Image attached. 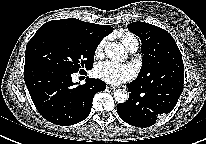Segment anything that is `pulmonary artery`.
Segmentation results:
<instances>
[{
    "label": "pulmonary artery",
    "mask_w": 206,
    "mask_h": 144,
    "mask_svg": "<svg viewBox=\"0 0 206 144\" xmlns=\"http://www.w3.org/2000/svg\"><path fill=\"white\" fill-rule=\"evenodd\" d=\"M137 49L136 48H132V49H130L129 51L130 52H135Z\"/></svg>",
    "instance_id": "1"
}]
</instances>
